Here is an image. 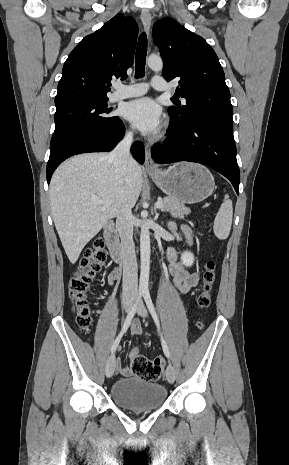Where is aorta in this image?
<instances>
[{"instance_id": "1", "label": "aorta", "mask_w": 289, "mask_h": 465, "mask_svg": "<svg viewBox=\"0 0 289 465\" xmlns=\"http://www.w3.org/2000/svg\"><path fill=\"white\" fill-rule=\"evenodd\" d=\"M147 64L149 68L154 71H161L163 68V61L161 57L156 55H151L147 59ZM144 216H147V212L143 213ZM140 280H139V290L142 292L148 291L149 283V271H150V232L146 225L141 227L140 234Z\"/></svg>"}]
</instances>
